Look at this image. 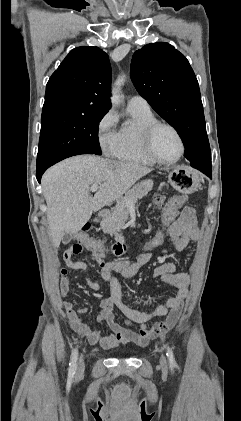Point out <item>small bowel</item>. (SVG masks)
I'll list each match as a JSON object with an SVG mask.
<instances>
[{
  "label": "small bowel",
  "instance_id": "small-bowel-1",
  "mask_svg": "<svg viewBox=\"0 0 241 421\" xmlns=\"http://www.w3.org/2000/svg\"><path fill=\"white\" fill-rule=\"evenodd\" d=\"M163 201V196H156L155 203L158 206ZM167 238L173 242L177 250H184L191 242L198 240L199 228L193 208L185 207L181 211L178 218L168 228ZM72 256L73 253L68 247L63 254L66 265L74 270L86 271L87 264L73 260ZM150 259V252H143L135 262L118 259L101 265V277L109 283L110 292L108 297L100 300L101 311L97 316V321L106 323L111 334L102 336L99 329H93L83 322L81 315L87 313L88 308L75 310L71 302L64 301L63 308L71 328L83 334L91 344H100L104 349H113L127 343L144 347L150 339L159 337L170 330L180 317L190 281L187 273L176 272V265L173 262L160 263L154 269V276L176 291L174 296L169 297L166 304L158 306L152 312H143L127 306L122 301V288L116 274L131 278ZM87 283L92 290H99V285L92 280L87 279ZM71 285L70 277H65L61 281L59 292L62 297L67 296ZM115 310L124 315L123 324L116 321ZM156 318H163V320L155 321ZM129 327H137L138 331H133Z\"/></svg>",
  "mask_w": 241,
  "mask_h": 421
}]
</instances>
